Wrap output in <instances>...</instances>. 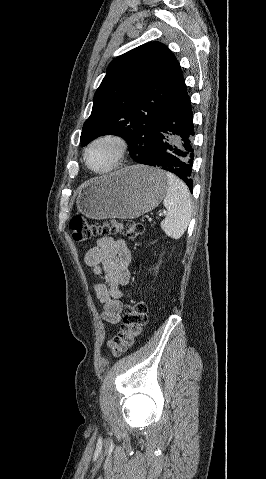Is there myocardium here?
Wrapping results in <instances>:
<instances>
[{
  "instance_id": "f54148a6",
  "label": "myocardium",
  "mask_w": 266,
  "mask_h": 479,
  "mask_svg": "<svg viewBox=\"0 0 266 479\" xmlns=\"http://www.w3.org/2000/svg\"><path fill=\"white\" fill-rule=\"evenodd\" d=\"M104 143H108L114 146L115 156H114L112 164L108 168L96 169L89 162V153L94 147ZM127 149H128L127 141L122 136H119L116 134H104V135L96 137L88 144V146L86 147L84 151L83 159H84L85 165L88 167L89 170H91L92 172L96 174L104 175V174H108L115 171L120 166L121 162L123 161L125 157Z\"/></svg>"
}]
</instances>
